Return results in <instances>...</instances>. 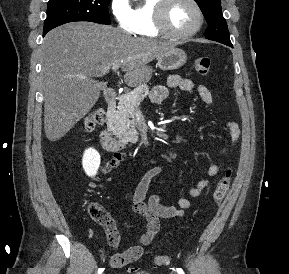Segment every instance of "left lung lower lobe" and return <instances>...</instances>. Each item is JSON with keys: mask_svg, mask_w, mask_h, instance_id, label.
<instances>
[{"mask_svg": "<svg viewBox=\"0 0 289 274\" xmlns=\"http://www.w3.org/2000/svg\"><path fill=\"white\" fill-rule=\"evenodd\" d=\"M225 45H228V46H230V47H233L231 43H228V44H225Z\"/></svg>", "mask_w": 289, "mask_h": 274, "instance_id": "0a47b994", "label": "left lung lower lobe"}]
</instances>
